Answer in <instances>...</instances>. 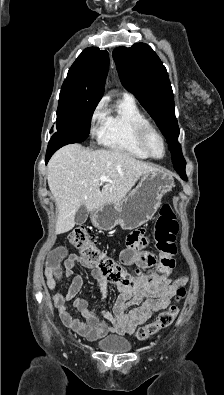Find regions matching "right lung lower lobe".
I'll use <instances>...</instances> for the list:
<instances>
[{
  "label": "right lung lower lobe",
  "mask_w": 224,
  "mask_h": 395,
  "mask_svg": "<svg viewBox=\"0 0 224 395\" xmlns=\"http://www.w3.org/2000/svg\"><path fill=\"white\" fill-rule=\"evenodd\" d=\"M70 143H75V142H73L71 140H58V139L51 137L49 144H48L47 153H46V159H45L46 164L56 150H58L59 148H61L64 145H67Z\"/></svg>",
  "instance_id": "1"
}]
</instances>
